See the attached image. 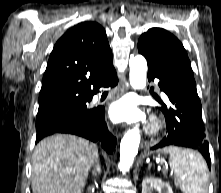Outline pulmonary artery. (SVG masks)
I'll return each instance as SVG.
<instances>
[{
    "instance_id": "pulmonary-artery-1",
    "label": "pulmonary artery",
    "mask_w": 221,
    "mask_h": 193,
    "mask_svg": "<svg viewBox=\"0 0 221 193\" xmlns=\"http://www.w3.org/2000/svg\"><path fill=\"white\" fill-rule=\"evenodd\" d=\"M162 96H163V98L165 99V100H168V97H167V95L165 94V93H162ZM98 99V96H95L94 97V100H97Z\"/></svg>"
}]
</instances>
